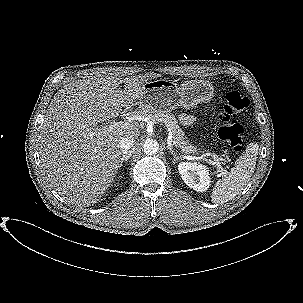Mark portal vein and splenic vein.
Instances as JSON below:
<instances>
[{
	"mask_svg": "<svg viewBox=\"0 0 303 303\" xmlns=\"http://www.w3.org/2000/svg\"><path fill=\"white\" fill-rule=\"evenodd\" d=\"M129 127H130V123L129 122L120 121V122H111L108 126H104L102 128V130L104 132H106V131L113 132V131L120 130V129H128ZM169 135H170V140H171L172 133L169 132ZM211 157L214 158V161H212V164L215 165V166H217V168L223 174H226L227 170L223 169L222 166H221V163L218 162L217 160H215L216 159V155L211 154Z\"/></svg>",
	"mask_w": 303,
	"mask_h": 303,
	"instance_id": "18ae733b",
	"label": "portal vein and splenic vein"
}]
</instances>
